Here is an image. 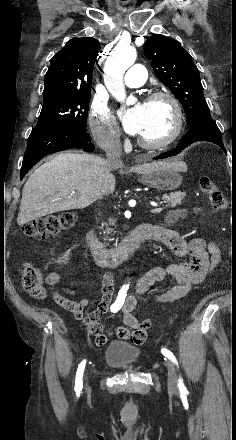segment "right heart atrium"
<instances>
[{
    "mask_svg": "<svg viewBox=\"0 0 236 440\" xmlns=\"http://www.w3.org/2000/svg\"><path fill=\"white\" fill-rule=\"evenodd\" d=\"M89 126L96 143L107 151L119 149L120 130L109 106L96 100L92 103Z\"/></svg>",
    "mask_w": 236,
    "mask_h": 440,
    "instance_id": "d8ad5b80",
    "label": "right heart atrium"
}]
</instances>
